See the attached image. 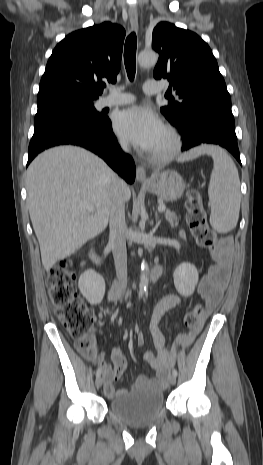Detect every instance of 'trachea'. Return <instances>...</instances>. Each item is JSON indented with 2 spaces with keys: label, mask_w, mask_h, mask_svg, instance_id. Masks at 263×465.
I'll return each instance as SVG.
<instances>
[{
  "label": "trachea",
  "mask_w": 263,
  "mask_h": 465,
  "mask_svg": "<svg viewBox=\"0 0 263 465\" xmlns=\"http://www.w3.org/2000/svg\"><path fill=\"white\" fill-rule=\"evenodd\" d=\"M136 49H137V37L132 32L126 39L124 46V63L127 71V75L130 81L134 80L136 72Z\"/></svg>",
  "instance_id": "obj_1"
}]
</instances>
